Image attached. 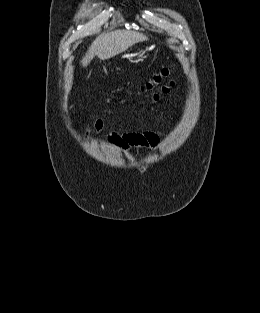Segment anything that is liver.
<instances>
[{"label": "liver", "instance_id": "6515ba94", "mask_svg": "<svg viewBox=\"0 0 260 313\" xmlns=\"http://www.w3.org/2000/svg\"><path fill=\"white\" fill-rule=\"evenodd\" d=\"M147 40V37L139 32L127 30H115L99 35L89 47L81 60L83 67H87L96 55L101 60L110 59L125 52L132 45Z\"/></svg>", "mask_w": 260, "mask_h": 313}]
</instances>
